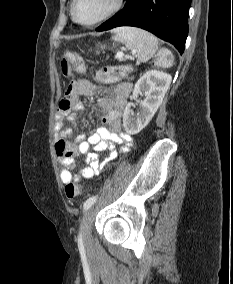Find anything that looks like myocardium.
<instances>
[{
  "mask_svg": "<svg viewBox=\"0 0 233 284\" xmlns=\"http://www.w3.org/2000/svg\"><path fill=\"white\" fill-rule=\"evenodd\" d=\"M77 2H78V0H72V2H71V6H70L71 16H72V19L75 23H77L81 26H85V27L95 26L97 24H100V23L106 21L107 19H109L113 15H115L121 9V7L123 5V0H112V5L110 6V8L103 15H101L99 18H97L96 20L91 21V22H81L80 20L77 19L76 14H75V7H76Z\"/></svg>",
  "mask_w": 233,
  "mask_h": 284,
  "instance_id": "myocardium-1",
  "label": "myocardium"
}]
</instances>
